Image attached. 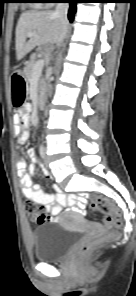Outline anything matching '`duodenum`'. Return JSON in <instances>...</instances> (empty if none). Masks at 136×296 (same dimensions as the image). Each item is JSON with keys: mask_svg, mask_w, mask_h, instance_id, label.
I'll return each instance as SVG.
<instances>
[{"mask_svg": "<svg viewBox=\"0 0 136 296\" xmlns=\"http://www.w3.org/2000/svg\"><path fill=\"white\" fill-rule=\"evenodd\" d=\"M42 103H43L42 98H38V100H37V104H38V106L42 105Z\"/></svg>", "mask_w": 136, "mask_h": 296, "instance_id": "duodenum-1", "label": "duodenum"}]
</instances>
